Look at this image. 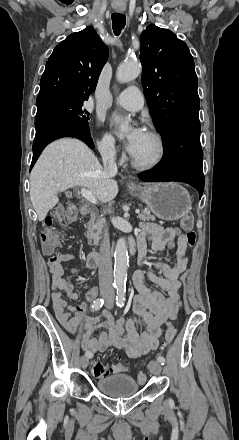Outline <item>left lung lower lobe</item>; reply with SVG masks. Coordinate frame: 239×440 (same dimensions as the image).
<instances>
[{
    "label": "left lung lower lobe",
    "mask_w": 239,
    "mask_h": 440,
    "mask_svg": "<svg viewBox=\"0 0 239 440\" xmlns=\"http://www.w3.org/2000/svg\"><path fill=\"white\" fill-rule=\"evenodd\" d=\"M165 151L160 165L140 174L145 181H175L188 183L199 192L204 190L203 151L200 146L199 121H184L170 127L164 137Z\"/></svg>",
    "instance_id": "obj_1"
}]
</instances>
